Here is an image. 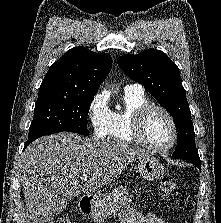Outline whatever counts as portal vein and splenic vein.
Instances as JSON below:
<instances>
[{"label":"portal vein and splenic vein","mask_w":221,"mask_h":223,"mask_svg":"<svg viewBox=\"0 0 221 223\" xmlns=\"http://www.w3.org/2000/svg\"><path fill=\"white\" fill-rule=\"evenodd\" d=\"M87 179H88V175L81 176V180L87 181Z\"/></svg>","instance_id":"1"}]
</instances>
